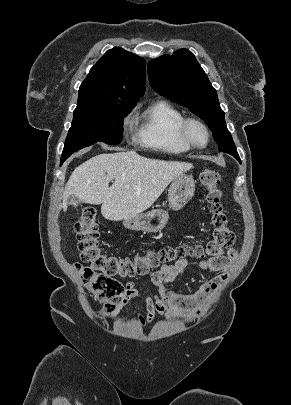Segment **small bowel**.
Instances as JSON below:
<instances>
[{
  "instance_id": "obj_1",
  "label": "small bowel",
  "mask_w": 291,
  "mask_h": 405,
  "mask_svg": "<svg viewBox=\"0 0 291 405\" xmlns=\"http://www.w3.org/2000/svg\"><path fill=\"white\" fill-rule=\"evenodd\" d=\"M237 258V252L229 249L225 256L210 258L199 263L203 271L218 272L216 276L205 282L194 294H181L171 288L173 280L183 275L188 267L185 258L177 260L173 264H165L149 275L154 288L152 296L141 293L134 281L125 285V294L119 303L117 311L131 299L138 298L144 303L146 314H138L136 320L141 327L152 324L158 316L166 319L182 318L185 321H195L203 316L206 309L212 303L216 293L229 276L232 263Z\"/></svg>"
}]
</instances>
